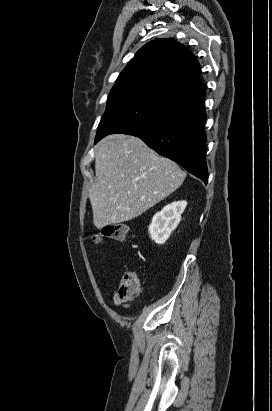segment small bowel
<instances>
[{"label": "small bowel", "mask_w": 272, "mask_h": 411, "mask_svg": "<svg viewBox=\"0 0 272 411\" xmlns=\"http://www.w3.org/2000/svg\"><path fill=\"white\" fill-rule=\"evenodd\" d=\"M112 295H113V302H114V305H115V306H119V305L122 303V301L118 298V296H117V292H116V290H115V289H113V291H112Z\"/></svg>", "instance_id": "obj_1"}]
</instances>
